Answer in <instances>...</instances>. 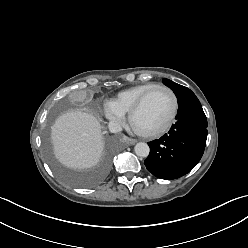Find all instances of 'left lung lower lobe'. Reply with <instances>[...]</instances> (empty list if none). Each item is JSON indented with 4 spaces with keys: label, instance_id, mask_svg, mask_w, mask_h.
<instances>
[{
    "label": "left lung lower lobe",
    "instance_id": "1",
    "mask_svg": "<svg viewBox=\"0 0 248 248\" xmlns=\"http://www.w3.org/2000/svg\"><path fill=\"white\" fill-rule=\"evenodd\" d=\"M177 122L168 134L149 142L145 166L161 179H176L190 172L200 161L207 139V119L193 92L178 101Z\"/></svg>",
    "mask_w": 248,
    "mask_h": 248
}]
</instances>
